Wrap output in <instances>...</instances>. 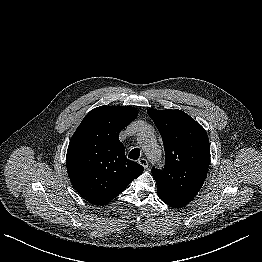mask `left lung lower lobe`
Listing matches in <instances>:
<instances>
[{
	"label": "left lung lower lobe",
	"mask_w": 262,
	"mask_h": 262,
	"mask_svg": "<svg viewBox=\"0 0 262 262\" xmlns=\"http://www.w3.org/2000/svg\"><path fill=\"white\" fill-rule=\"evenodd\" d=\"M167 205H170L171 207H174V208H178V207H176V206H174V205H172V204H167Z\"/></svg>",
	"instance_id": "left-lung-lower-lobe-1"
}]
</instances>
